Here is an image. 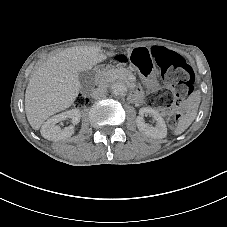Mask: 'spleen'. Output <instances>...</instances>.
<instances>
[{
	"label": "spleen",
	"mask_w": 227,
	"mask_h": 227,
	"mask_svg": "<svg viewBox=\"0 0 227 227\" xmlns=\"http://www.w3.org/2000/svg\"><path fill=\"white\" fill-rule=\"evenodd\" d=\"M195 117H196L195 112L182 115L179 118L177 127L174 130V134L175 135L182 134L191 125V123L194 121Z\"/></svg>",
	"instance_id": "1"
}]
</instances>
